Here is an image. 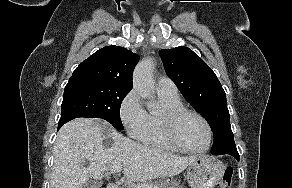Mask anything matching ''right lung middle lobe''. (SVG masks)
I'll return each mask as SVG.
<instances>
[{"mask_svg": "<svg viewBox=\"0 0 292 188\" xmlns=\"http://www.w3.org/2000/svg\"><path fill=\"white\" fill-rule=\"evenodd\" d=\"M131 89L92 81H69L64 90L61 118H102L123 130L120 106Z\"/></svg>", "mask_w": 292, "mask_h": 188, "instance_id": "dd1d6c3e", "label": "right lung middle lobe"}]
</instances>
